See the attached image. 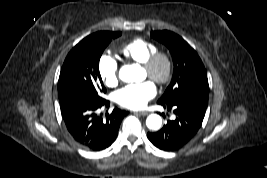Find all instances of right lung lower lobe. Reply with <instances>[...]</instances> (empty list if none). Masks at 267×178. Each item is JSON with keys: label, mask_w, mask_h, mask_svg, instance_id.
I'll return each instance as SVG.
<instances>
[{"label": "right lung lower lobe", "mask_w": 267, "mask_h": 178, "mask_svg": "<svg viewBox=\"0 0 267 178\" xmlns=\"http://www.w3.org/2000/svg\"><path fill=\"white\" fill-rule=\"evenodd\" d=\"M59 101L67 130L80 146L92 151L103 150L115 141L120 123L127 115L115 108L103 118L99 110L109 107V101L103 98L74 94Z\"/></svg>", "instance_id": "98d812e1"}]
</instances>
